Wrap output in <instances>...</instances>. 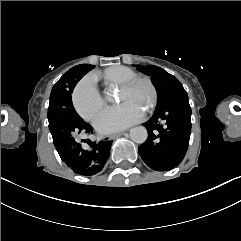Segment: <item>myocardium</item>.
Here are the masks:
<instances>
[{
    "label": "myocardium",
    "instance_id": "f54148a6",
    "mask_svg": "<svg viewBox=\"0 0 241 241\" xmlns=\"http://www.w3.org/2000/svg\"><path fill=\"white\" fill-rule=\"evenodd\" d=\"M146 77H147L146 73H136L135 75H130L123 80L122 86H130L131 84L136 83L139 80V78H146ZM148 79L152 80L153 76L149 75ZM152 83L154 84V93H153L152 102L149 105L150 109H153L154 106L156 105V101L158 99V92H159L158 80L153 79Z\"/></svg>",
    "mask_w": 241,
    "mask_h": 241
}]
</instances>
